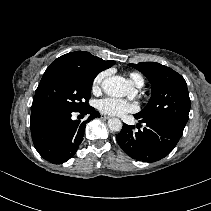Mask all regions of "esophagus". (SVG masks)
Instances as JSON below:
<instances>
[{
    "mask_svg": "<svg viewBox=\"0 0 211 211\" xmlns=\"http://www.w3.org/2000/svg\"><path fill=\"white\" fill-rule=\"evenodd\" d=\"M101 118H103V119H110L111 117L108 116V115H105V114H101Z\"/></svg>",
    "mask_w": 211,
    "mask_h": 211,
    "instance_id": "1",
    "label": "esophagus"
}]
</instances>
